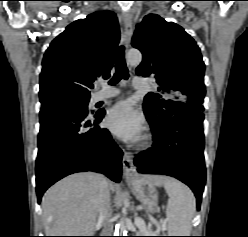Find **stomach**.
Segmentation results:
<instances>
[{"instance_id": "stomach-1", "label": "stomach", "mask_w": 248, "mask_h": 237, "mask_svg": "<svg viewBox=\"0 0 248 237\" xmlns=\"http://www.w3.org/2000/svg\"><path fill=\"white\" fill-rule=\"evenodd\" d=\"M132 190L136 198L149 211L154 212L158 208V192L156 185L146 176L131 182Z\"/></svg>"}]
</instances>
